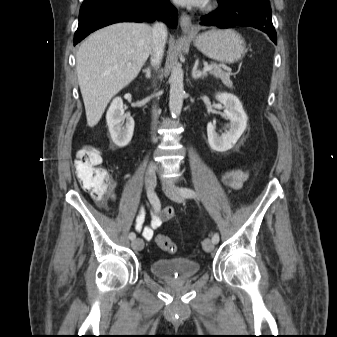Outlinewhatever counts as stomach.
<instances>
[{
  "mask_svg": "<svg viewBox=\"0 0 337 337\" xmlns=\"http://www.w3.org/2000/svg\"><path fill=\"white\" fill-rule=\"evenodd\" d=\"M194 45L207 57L229 64L246 54L244 39L231 29H212L202 33L194 38Z\"/></svg>",
  "mask_w": 337,
  "mask_h": 337,
  "instance_id": "0dacf381",
  "label": "stomach"
}]
</instances>
